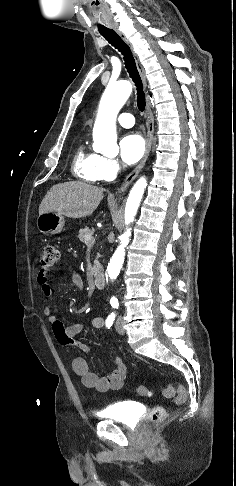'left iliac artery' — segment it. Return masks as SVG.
Returning <instances> with one entry per match:
<instances>
[{"mask_svg":"<svg viewBox=\"0 0 236 486\" xmlns=\"http://www.w3.org/2000/svg\"><path fill=\"white\" fill-rule=\"evenodd\" d=\"M111 305H112V307H114V308H118V306H119L118 300H116V299H112V300H111Z\"/></svg>","mask_w":236,"mask_h":486,"instance_id":"left-iliac-artery-1","label":"left iliac artery"}]
</instances>
